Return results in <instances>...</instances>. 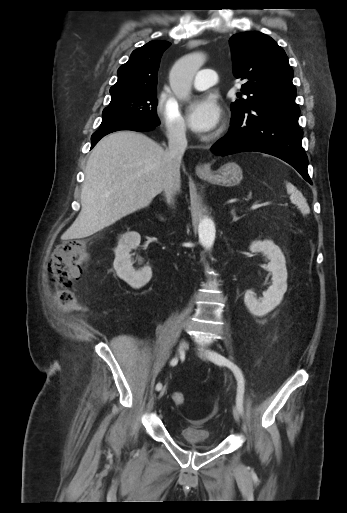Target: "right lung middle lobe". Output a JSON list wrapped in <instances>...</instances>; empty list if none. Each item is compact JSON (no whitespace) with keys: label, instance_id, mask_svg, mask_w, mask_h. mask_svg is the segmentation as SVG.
Masks as SVG:
<instances>
[{"label":"right lung middle lobe","instance_id":"right-lung-middle-lobe-1","mask_svg":"<svg viewBox=\"0 0 347 513\" xmlns=\"http://www.w3.org/2000/svg\"><path fill=\"white\" fill-rule=\"evenodd\" d=\"M109 106L103 110L100 128L119 123H139L156 127V89L111 93Z\"/></svg>","mask_w":347,"mask_h":513}]
</instances>
